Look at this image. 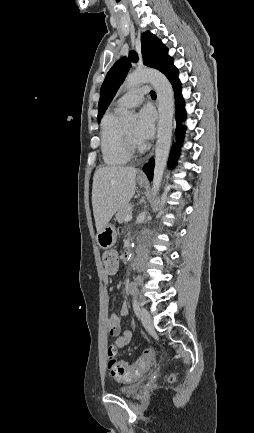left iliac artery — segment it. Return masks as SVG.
Returning a JSON list of instances; mask_svg holds the SVG:
<instances>
[{"instance_id": "44dca946", "label": "left iliac artery", "mask_w": 254, "mask_h": 433, "mask_svg": "<svg viewBox=\"0 0 254 433\" xmlns=\"http://www.w3.org/2000/svg\"><path fill=\"white\" fill-rule=\"evenodd\" d=\"M133 309H134V312H135L136 316L139 317V315H140V305H139V303H138V301H137L136 298L133 300Z\"/></svg>"}]
</instances>
